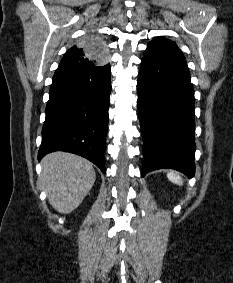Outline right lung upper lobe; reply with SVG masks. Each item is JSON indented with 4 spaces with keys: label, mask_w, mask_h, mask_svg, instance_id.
I'll use <instances>...</instances> for the list:
<instances>
[{
    "label": "right lung upper lobe",
    "mask_w": 233,
    "mask_h": 283,
    "mask_svg": "<svg viewBox=\"0 0 233 283\" xmlns=\"http://www.w3.org/2000/svg\"><path fill=\"white\" fill-rule=\"evenodd\" d=\"M114 54V49H108V44L97 36H91L86 44H75L62 58L59 67L74 66L82 64L106 65V60Z\"/></svg>",
    "instance_id": "right-lung-upper-lobe-1"
}]
</instances>
